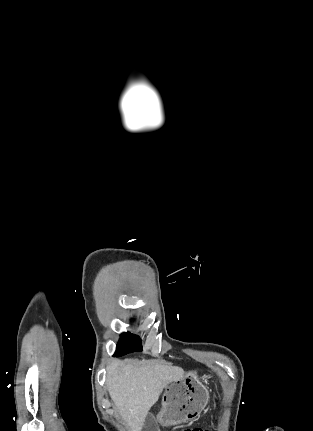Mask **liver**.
Listing matches in <instances>:
<instances>
[{
  "label": "liver",
  "mask_w": 313,
  "mask_h": 431,
  "mask_svg": "<svg viewBox=\"0 0 313 431\" xmlns=\"http://www.w3.org/2000/svg\"><path fill=\"white\" fill-rule=\"evenodd\" d=\"M183 377L181 367L169 364L137 365L113 360L107 366V389L131 431H141L147 413L163 389Z\"/></svg>",
  "instance_id": "1"
}]
</instances>
